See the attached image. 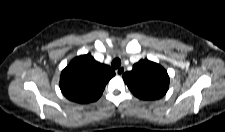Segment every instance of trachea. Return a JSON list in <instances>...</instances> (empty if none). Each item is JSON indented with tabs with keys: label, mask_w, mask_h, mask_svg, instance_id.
Masks as SVG:
<instances>
[{
	"label": "trachea",
	"mask_w": 225,
	"mask_h": 132,
	"mask_svg": "<svg viewBox=\"0 0 225 132\" xmlns=\"http://www.w3.org/2000/svg\"><path fill=\"white\" fill-rule=\"evenodd\" d=\"M112 67L114 69H117L121 66V60L119 58H115L113 61H112Z\"/></svg>",
	"instance_id": "trachea-1"
}]
</instances>
